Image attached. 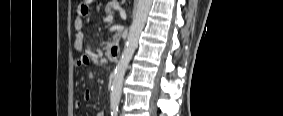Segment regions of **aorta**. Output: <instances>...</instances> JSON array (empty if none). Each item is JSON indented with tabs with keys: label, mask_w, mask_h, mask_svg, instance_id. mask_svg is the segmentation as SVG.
<instances>
[{
	"label": "aorta",
	"mask_w": 283,
	"mask_h": 116,
	"mask_svg": "<svg viewBox=\"0 0 283 116\" xmlns=\"http://www.w3.org/2000/svg\"><path fill=\"white\" fill-rule=\"evenodd\" d=\"M151 5L152 0L137 1L136 11L133 22L130 26L127 41L114 71L110 94L111 103H118L120 101L124 75L128 64L138 46L139 37L147 21Z\"/></svg>",
	"instance_id": "aorta-1"
}]
</instances>
